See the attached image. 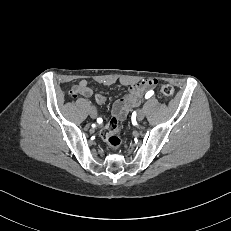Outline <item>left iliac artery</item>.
I'll use <instances>...</instances> for the list:
<instances>
[{
	"label": "left iliac artery",
	"mask_w": 231,
	"mask_h": 231,
	"mask_svg": "<svg viewBox=\"0 0 231 231\" xmlns=\"http://www.w3.org/2000/svg\"><path fill=\"white\" fill-rule=\"evenodd\" d=\"M153 94H154V91H153V90H150V91H148V92L146 93L145 98H146V99H147V98H150Z\"/></svg>",
	"instance_id": "left-iliac-artery-1"
}]
</instances>
